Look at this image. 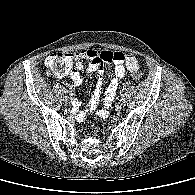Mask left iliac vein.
Returning a JSON list of instances; mask_svg holds the SVG:
<instances>
[{
	"instance_id": "obj_1",
	"label": "left iliac vein",
	"mask_w": 195,
	"mask_h": 195,
	"mask_svg": "<svg viewBox=\"0 0 195 195\" xmlns=\"http://www.w3.org/2000/svg\"><path fill=\"white\" fill-rule=\"evenodd\" d=\"M124 106H125V100H124V99L119 100V101L117 102V104H116L117 109H121V108H123Z\"/></svg>"
}]
</instances>
